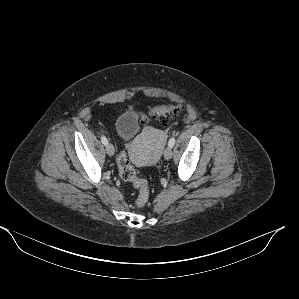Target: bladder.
<instances>
[{
	"instance_id": "1",
	"label": "bladder",
	"mask_w": 299,
	"mask_h": 299,
	"mask_svg": "<svg viewBox=\"0 0 299 299\" xmlns=\"http://www.w3.org/2000/svg\"><path fill=\"white\" fill-rule=\"evenodd\" d=\"M141 128L139 117L133 110L123 111L115 121V130L122 141H130L137 136Z\"/></svg>"
}]
</instances>
